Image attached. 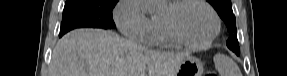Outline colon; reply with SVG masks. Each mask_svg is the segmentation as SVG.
I'll return each instance as SVG.
<instances>
[{
    "label": "colon",
    "mask_w": 287,
    "mask_h": 76,
    "mask_svg": "<svg viewBox=\"0 0 287 76\" xmlns=\"http://www.w3.org/2000/svg\"><path fill=\"white\" fill-rule=\"evenodd\" d=\"M206 76H216V74L213 73V72H208V73L206 74Z\"/></svg>",
    "instance_id": "1"
}]
</instances>
